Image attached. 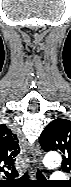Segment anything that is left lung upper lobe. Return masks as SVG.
<instances>
[{
	"label": "left lung upper lobe",
	"instance_id": "left-lung-upper-lobe-1",
	"mask_svg": "<svg viewBox=\"0 0 71 187\" xmlns=\"http://www.w3.org/2000/svg\"><path fill=\"white\" fill-rule=\"evenodd\" d=\"M44 151H59L62 154V169L71 170V121L57 118L48 124L39 138Z\"/></svg>",
	"mask_w": 71,
	"mask_h": 187
}]
</instances>
